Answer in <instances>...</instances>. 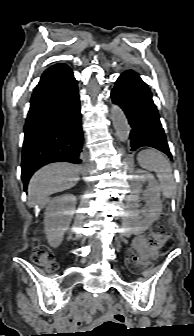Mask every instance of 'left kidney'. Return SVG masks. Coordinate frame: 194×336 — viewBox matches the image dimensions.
Masks as SVG:
<instances>
[{"mask_svg":"<svg viewBox=\"0 0 194 336\" xmlns=\"http://www.w3.org/2000/svg\"><path fill=\"white\" fill-rule=\"evenodd\" d=\"M132 181V194L127 199L130 207V217L137 230L146 231L161 214V189L154 176L143 170H137V174L132 177ZM143 183H148V189L145 192L148 208L138 210L139 194L142 192L141 185ZM140 213L143 214V217L140 216Z\"/></svg>","mask_w":194,"mask_h":336,"instance_id":"1","label":"left kidney"}]
</instances>
